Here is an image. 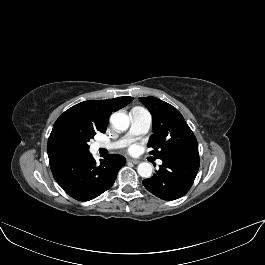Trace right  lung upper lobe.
I'll list each match as a JSON object with an SVG mask.
<instances>
[{"label":"right lung upper lobe","instance_id":"right-lung-upper-lobe-1","mask_svg":"<svg viewBox=\"0 0 265 265\" xmlns=\"http://www.w3.org/2000/svg\"><path fill=\"white\" fill-rule=\"evenodd\" d=\"M133 97H118L106 100H89L74 105L56 120L48 139L47 153L49 162L54 163L71 157L62 146L61 136L70 130L106 132L110 115L128 105Z\"/></svg>","mask_w":265,"mask_h":265}]
</instances>
